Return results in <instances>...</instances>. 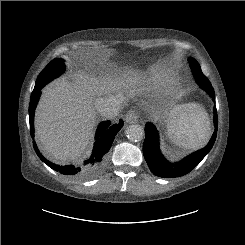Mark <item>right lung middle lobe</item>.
<instances>
[{
  "label": "right lung middle lobe",
  "instance_id": "dd1d6c3e",
  "mask_svg": "<svg viewBox=\"0 0 245 245\" xmlns=\"http://www.w3.org/2000/svg\"><path fill=\"white\" fill-rule=\"evenodd\" d=\"M65 70L64 60L62 59H54L46 68L40 73L38 76L35 86L47 84L49 81L54 79L55 77L62 74Z\"/></svg>",
  "mask_w": 245,
  "mask_h": 245
}]
</instances>
